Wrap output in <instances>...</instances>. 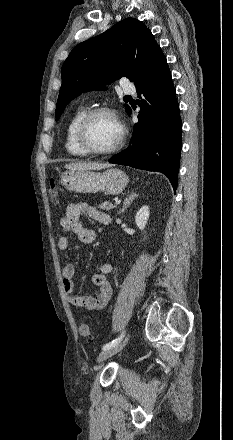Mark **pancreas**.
<instances>
[{"mask_svg":"<svg viewBox=\"0 0 233 440\" xmlns=\"http://www.w3.org/2000/svg\"><path fill=\"white\" fill-rule=\"evenodd\" d=\"M97 208L103 211H111L112 209L116 208V205H113L112 202L105 201L98 205Z\"/></svg>","mask_w":233,"mask_h":440,"instance_id":"cf45deb5","label":"pancreas"}]
</instances>
